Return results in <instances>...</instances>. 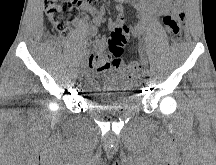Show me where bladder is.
Segmentation results:
<instances>
[{
  "label": "bladder",
  "mask_w": 216,
  "mask_h": 165,
  "mask_svg": "<svg viewBox=\"0 0 216 165\" xmlns=\"http://www.w3.org/2000/svg\"><path fill=\"white\" fill-rule=\"evenodd\" d=\"M84 82V94L91 100L93 111H122L135 106L137 95L130 76L118 72L110 76L88 74Z\"/></svg>",
  "instance_id": "obj_1"
}]
</instances>
